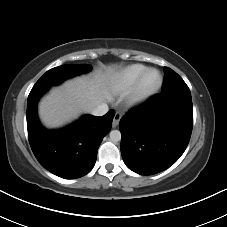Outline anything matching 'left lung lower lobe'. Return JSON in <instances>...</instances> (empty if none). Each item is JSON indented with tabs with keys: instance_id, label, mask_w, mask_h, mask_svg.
<instances>
[{
	"instance_id": "0a47b994",
	"label": "left lung lower lobe",
	"mask_w": 227,
	"mask_h": 227,
	"mask_svg": "<svg viewBox=\"0 0 227 227\" xmlns=\"http://www.w3.org/2000/svg\"><path fill=\"white\" fill-rule=\"evenodd\" d=\"M192 127L191 94L152 96L119 123L124 163L141 175L169 168L185 151Z\"/></svg>"
}]
</instances>
